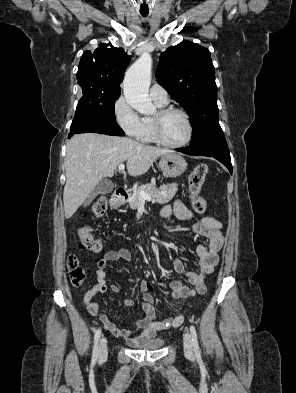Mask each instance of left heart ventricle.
Wrapping results in <instances>:
<instances>
[{"mask_svg": "<svg viewBox=\"0 0 296 393\" xmlns=\"http://www.w3.org/2000/svg\"><path fill=\"white\" fill-rule=\"evenodd\" d=\"M188 134L184 117L178 113L168 115L162 122V136L169 143L182 142Z\"/></svg>", "mask_w": 296, "mask_h": 393, "instance_id": "left-heart-ventricle-1", "label": "left heart ventricle"}]
</instances>
